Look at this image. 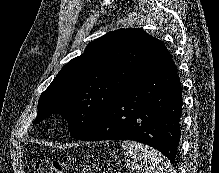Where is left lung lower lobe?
<instances>
[{
    "mask_svg": "<svg viewBox=\"0 0 219 173\" xmlns=\"http://www.w3.org/2000/svg\"><path fill=\"white\" fill-rule=\"evenodd\" d=\"M181 114L180 79L162 44L140 69L137 82L79 139L138 141L156 148L174 164Z\"/></svg>",
    "mask_w": 219,
    "mask_h": 173,
    "instance_id": "left-lung-lower-lobe-1",
    "label": "left lung lower lobe"
}]
</instances>
